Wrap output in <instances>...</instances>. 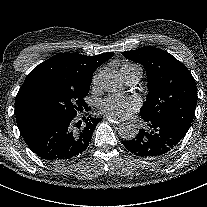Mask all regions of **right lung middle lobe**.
<instances>
[{"instance_id": "dd1d6c3e", "label": "right lung middle lobe", "mask_w": 207, "mask_h": 207, "mask_svg": "<svg viewBox=\"0 0 207 207\" xmlns=\"http://www.w3.org/2000/svg\"><path fill=\"white\" fill-rule=\"evenodd\" d=\"M88 92H80L63 85L49 82H34L17 95L22 117L29 122L56 118H72L90 107L84 97Z\"/></svg>"}]
</instances>
